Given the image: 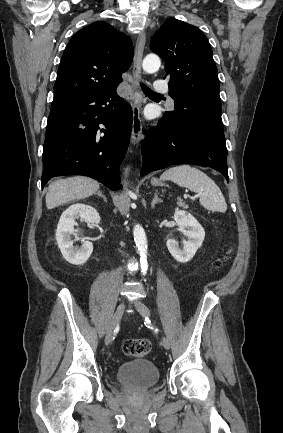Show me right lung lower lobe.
<instances>
[{
  "label": "right lung lower lobe",
  "instance_id": "right-lung-lower-lobe-1",
  "mask_svg": "<svg viewBox=\"0 0 283 433\" xmlns=\"http://www.w3.org/2000/svg\"><path fill=\"white\" fill-rule=\"evenodd\" d=\"M132 109L116 88L51 106L43 147L42 188L62 175L92 177L120 188L118 167L127 151Z\"/></svg>",
  "mask_w": 283,
  "mask_h": 433
}]
</instances>
